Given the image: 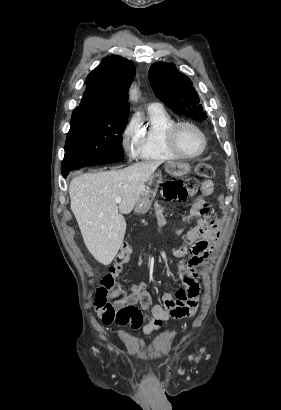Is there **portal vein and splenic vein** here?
I'll return each instance as SVG.
<instances>
[{"mask_svg":"<svg viewBox=\"0 0 281 410\" xmlns=\"http://www.w3.org/2000/svg\"><path fill=\"white\" fill-rule=\"evenodd\" d=\"M120 202H121V197H116V198H115V203H116V204H119Z\"/></svg>","mask_w":281,"mask_h":410,"instance_id":"1","label":"portal vein and splenic vein"}]
</instances>
